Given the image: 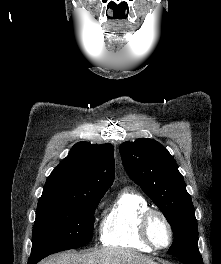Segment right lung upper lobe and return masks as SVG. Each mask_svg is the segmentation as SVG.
Instances as JSON below:
<instances>
[{
	"instance_id": "cb5924a9",
	"label": "right lung upper lobe",
	"mask_w": 221,
	"mask_h": 264,
	"mask_svg": "<svg viewBox=\"0 0 221 264\" xmlns=\"http://www.w3.org/2000/svg\"><path fill=\"white\" fill-rule=\"evenodd\" d=\"M115 176L114 149L111 144L79 142L52 171L43 197H81L104 194Z\"/></svg>"
}]
</instances>
